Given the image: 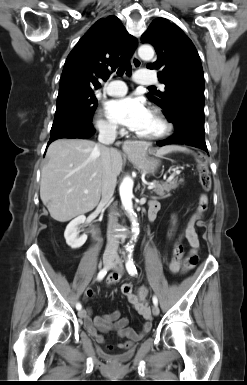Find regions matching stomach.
<instances>
[{"label":"stomach","instance_id":"1","mask_svg":"<svg viewBox=\"0 0 247 385\" xmlns=\"http://www.w3.org/2000/svg\"><path fill=\"white\" fill-rule=\"evenodd\" d=\"M128 157L135 167L141 172L154 173L159 165L158 160L150 157L144 148L130 152Z\"/></svg>","mask_w":247,"mask_h":385}]
</instances>
